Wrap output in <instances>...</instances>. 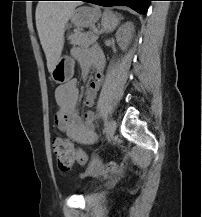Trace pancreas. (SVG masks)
<instances>
[{
  "label": "pancreas",
  "mask_w": 202,
  "mask_h": 217,
  "mask_svg": "<svg viewBox=\"0 0 202 217\" xmlns=\"http://www.w3.org/2000/svg\"><path fill=\"white\" fill-rule=\"evenodd\" d=\"M98 39L97 32L82 33L80 30H75L73 34L69 36L70 43L82 47H88L96 42Z\"/></svg>",
  "instance_id": "cf45deb5"
}]
</instances>
